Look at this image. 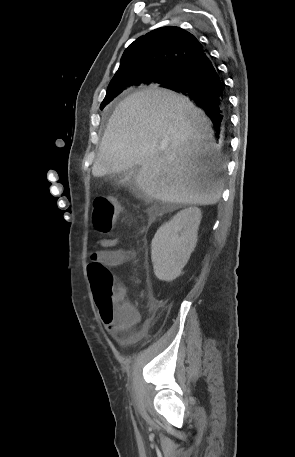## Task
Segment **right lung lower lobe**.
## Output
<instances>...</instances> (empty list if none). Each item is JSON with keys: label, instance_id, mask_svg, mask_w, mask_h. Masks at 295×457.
<instances>
[{"label": "right lung lower lobe", "instance_id": "obj_1", "mask_svg": "<svg viewBox=\"0 0 295 457\" xmlns=\"http://www.w3.org/2000/svg\"><path fill=\"white\" fill-rule=\"evenodd\" d=\"M161 87L172 89L193 100L212 120L219 132L228 120V100L219 71L203 52L188 62L173 81ZM219 138V133H216Z\"/></svg>", "mask_w": 295, "mask_h": 457}]
</instances>
